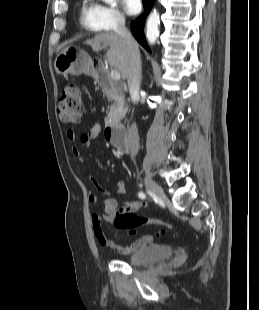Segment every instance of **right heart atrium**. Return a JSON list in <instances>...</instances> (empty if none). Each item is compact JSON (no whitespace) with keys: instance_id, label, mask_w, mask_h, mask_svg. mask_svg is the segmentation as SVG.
I'll list each match as a JSON object with an SVG mask.
<instances>
[{"instance_id":"1","label":"right heart atrium","mask_w":259,"mask_h":310,"mask_svg":"<svg viewBox=\"0 0 259 310\" xmlns=\"http://www.w3.org/2000/svg\"><path fill=\"white\" fill-rule=\"evenodd\" d=\"M94 18L100 29L104 30H117L125 22V17L118 8L101 3L94 5Z\"/></svg>"}]
</instances>
